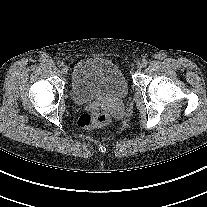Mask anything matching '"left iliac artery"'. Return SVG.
<instances>
[{
    "label": "left iliac artery",
    "instance_id": "obj_1",
    "mask_svg": "<svg viewBox=\"0 0 207 207\" xmlns=\"http://www.w3.org/2000/svg\"><path fill=\"white\" fill-rule=\"evenodd\" d=\"M142 63L144 66H146L148 64L147 60H145V59L142 60Z\"/></svg>",
    "mask_w": 207,
    "mask_h": 207
}]
</instances>
